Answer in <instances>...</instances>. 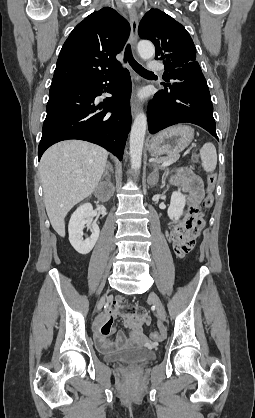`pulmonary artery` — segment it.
Instances as JSON below:
<instances>
[{"instance_id":"obj_1","label":"pulmonary artery","mask_w":255,"mask_h":418,"mask_svg":"<svg viewBox=\"0 0 255 418\" xmlns=\"http://www.w3.org/2000/svg\"><path fill=\"white\" fill-rule=\"evenodd\" d=\"M148 68L149 70H152V71L161 70L162 65L157 61H151L149 62Z\"/></svg>"}]
</instances>
